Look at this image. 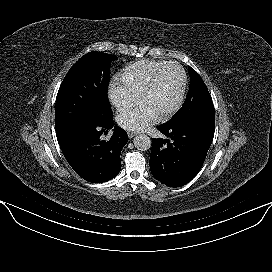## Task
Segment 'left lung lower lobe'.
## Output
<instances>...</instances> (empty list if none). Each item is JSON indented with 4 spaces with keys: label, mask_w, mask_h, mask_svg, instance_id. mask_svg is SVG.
<instances>
[{
    "label": "left lung lower lobe",
    "mask_w": 272,
    "mask_h": 272,
    "mask_svg": "<svg viewBox=\"0 0 272 272\" xmlns=\"http://www.w3.org/2000/svg\"><path fill=\"white\" fill-rule=\"evenodd\" d=\"M158 130L168 139H152L151 173L162 184L183 186L203 166L214 137V121L188 122L180 126L162 124Z\"/></svg>",
    "instance_id": "left-lung-lower-lobe-1"
}]
</instances>
